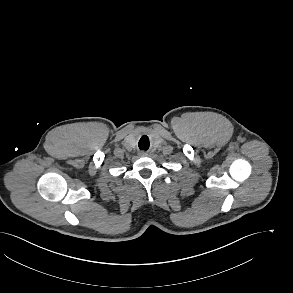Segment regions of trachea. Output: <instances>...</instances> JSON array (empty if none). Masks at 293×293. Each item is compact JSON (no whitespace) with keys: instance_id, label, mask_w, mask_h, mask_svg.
<instances>
[{"instance_id":"3493384b","label":"trachea","mask_w":293,"mask_h":293,"mask_svg":"<svg viewBox=\"0 0 293 293\" xmlns=\"http://www.w3.org/2000/svg\"><path fill=\"white\" fill-rule=\"evenodd\" d=\"M139 147H140L141 150H147L148 149V146L145 148L144 144H141V142H139Z\"/></svg>"}]
</instances>
